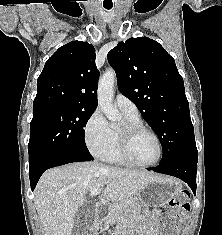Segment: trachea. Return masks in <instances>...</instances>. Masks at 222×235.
Instances as JSON below:
<instances>
[{
	"mask_svg": "<svg viewBox=\"0 0 222 235\" xmlns=\"http://www.w3.org/2000/svg\"><path fill=\"white\" fill-rule=\"evenodd\" d=\"M105 8L109 10V9H111L112 7H105Z\"/></svg>",
	"mask_w": 222,
	"mask_h": 235,
	"instance_id": "obj_1",
	"label": "trachea"
}]
</instances>
